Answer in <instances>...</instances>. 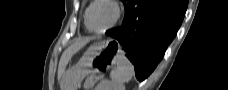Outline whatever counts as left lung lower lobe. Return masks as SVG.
I'll return each instance as SVG.
<instances>
[{
    "label": "left lung lower lobe",
    "mask_w": 228,
    "mask_h": 90,
    "mask_svg": "<svg viewBox=\"0 0 228 90\" xmlns=\"http://www.w3.org/2000/svg\"><path fill=\"white\" fill-rule=\"evenodd\" d=\"M187 0H128L122 26L106 32L124 47L143 81L154 70L175 37Z\"/></svg>",
    "instance_id": "obj_1"
}]
</instances>
